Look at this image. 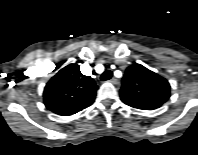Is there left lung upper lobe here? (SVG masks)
Wrapping results in <instances>:
<instances>
[{"label":"left lung upper lobe","instance_id":"obj_1","mask_svg":"<svg viewBox=\"0 0 198 155\" xmlns=\"http://www.w3.org/2000/svg\"><path fill=\"white\" fill-rule=\"evenodd\" d=\"M121 100L134 108L153 110L170 97L168 81L140 64L126 69L120 90Z\"/></svg>","mask_w":198,"mask_h":155}]
</instances>
